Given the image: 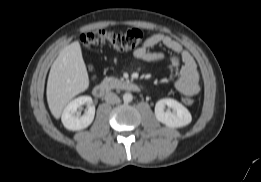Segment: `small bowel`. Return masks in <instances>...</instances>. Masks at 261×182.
<instances>
[{
    "label": "small bowel",
    "instance_id": "c3829d8e",
    "mask_svg": "<svg viewBox=\"0 0 261 182\" xmlns=\"http://www.w3.org/2000/svg\"><path fill=\"white\" fill-rule=\"evenodd\" d=\"M157 45H163L174 52L171 67L174 72V87L183 95H196L200 90L199 74L193 57L174 38L157 33L149 38L134 51L135 58L157 63L162 61L163 55L154 51Z\"/></svg>",
    "mask_w": 261,
    "mask_h": 182
}]
</instances>
